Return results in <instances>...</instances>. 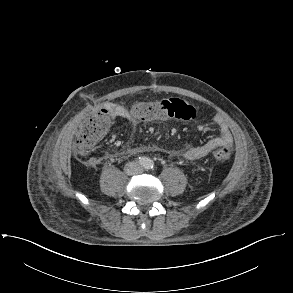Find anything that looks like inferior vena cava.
<instances>
[{
    "label": "inferior vena cava",
    "mask_w": 293,
    "mask_h": 293,
    "mask_svg": "<svg viewBox=\"0 0 293 293\" xmlns=\"http://www.w3.org/2000/svg\"><path fill=\"white\" fill-rule=\"evenodd\" d=\"M128 166L134 168V170H132V171L130 169H128V172H127L128 174L138 173L137 169H139V166L137 163H129Z\"/></svg>",
    "instance_id": "602c4592"
}]
</instances>
